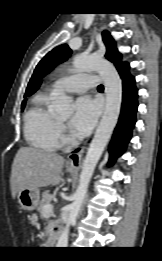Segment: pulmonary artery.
<instances>
[{
	"mask_svg": "<svg viewBox=\"0 0 162 261\" xmlns=\"http://www.w3.org/2000/svg\"><path fill=\"white\" fill-rule=\"evenodd\" d=\"M99 76L91 74H74L71 76L57 79L52 88L59 91H65L69 93H80L89 88L97 86Z\"/></svg>",
	"mask_w": 162,
	"mask_h": 261,
	"instance_id": "e3ab8cb5",
	"label": "pulmonary artery"
}]
</instances>
